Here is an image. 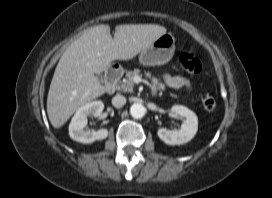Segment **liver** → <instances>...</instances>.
Wrapping results in <instances>:
<instances>
[{
    "instance_id": "6515ba94",
    "label": "liver",
    "mask_w": 272,
    "mask_h": 198,
    "mask_svg": "<svg viewBox=\"0 0 272 198\" xmlns=\"http://www.w3.org/2000/svg\"><path fill=\"white\" fill-rule=\"evenodd\" d=\"M166 28L155 24L118 25L112 38L109 25L88 29L63 53L55 69L47 97V114L60 128L73 113L103 95L106 88L95 74L114 60H130L147 49Z\"/></svg>"
}]
</instances>
